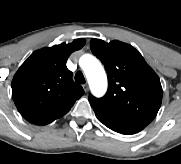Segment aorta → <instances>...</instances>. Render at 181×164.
<instances>
[{
  "label": "aorta",
  "mask_w": 181,
  "mask_h": 164,
  "mask_svg": "<svg viewBox=\"0 0 181 164\" xmlns=\"http://www.w3.org/2000/svg\"><path fill=\"white\" fill-rule=\"evenodd\" d=\"M81 62L92 94L96 97L103 96L107 90V76L101 62L89 54L82 56Z\"/></svg>",
  "instance_id": "1"
}]
</instances>
